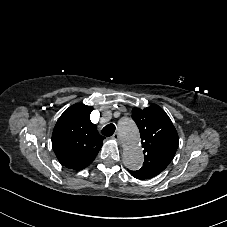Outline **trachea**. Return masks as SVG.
I'll return each instance as SVG.
<instances>
[{
	"mask_svg": "<svg viewBox=\"0 0 227 227\" xmlns=\"http://www.w3.org/2000/svg\"><path fill=\"white\" fill-rule=\"evenodd\" d=\"M116 130V126L114 124H108L102 129V134L106 137H110Z\"/></svg>",
	"mask_w": 227,
	"mask_h": 227,
	"instance_id": "3493384b",
	"label": "trachea"
}]
</instances>
